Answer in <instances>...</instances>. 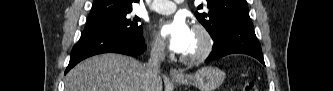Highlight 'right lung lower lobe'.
<instances>
[{
  "label": "right lung lower lobe",
  "instance_id": "obj_1",
  "mask_svg": "<svg viewBox=\"0 0 333 91\" xmlns=\"http://www.w3.org/2000/svg\"><path fill=\"white\" fill-rule=\"evenodd\" d=\"M146 45L142 36L115 31H84L74 46L65 74L81 60L101 53L142 54Z\"/></svg>",
  "mask_w": 333,
  "mask_h": 91
}]
</instances>
